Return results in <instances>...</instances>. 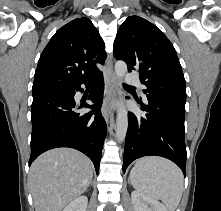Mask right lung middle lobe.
<instances>
[{
    "label": "right lung middle lobe",
    "mask_w": 221,
    "mask_h": 211,
    "mask_svg": "<svg viewBox=\"0 0 221 211\" xmlns=\"http://www.w3.org/2000/svg\"><path fill=\"white\" fill-rule=\"evenodd\" d=\"M52 90H53V89H52ZM49 91H51V90L33 91V97H36V96L45 94V93H47V92H49Z\"/></svg>",
    "instance_id": "obj_1"
}]
</instances>
